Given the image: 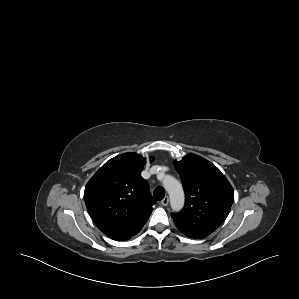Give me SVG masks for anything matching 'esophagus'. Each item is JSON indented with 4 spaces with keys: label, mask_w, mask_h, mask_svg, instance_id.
Wrapping results in <instances>:
<instances>
[{
    "label": "esophagus",
    "mask_w": 299,
    "mask_h": 299,
    "mask_svg": "<svg viewBox=\"0 0 299 299\" xmlns=\"http://www.w3.org/2000/svg\"><path fill=\"white\" fill-rule=\"evenodd\" d=\"M168 203H169V197L168 196L164 197V199L161 200V205H163V206H167Z\"/></svg>",
    "instance_id": "obj_1"
}]
</instances>
